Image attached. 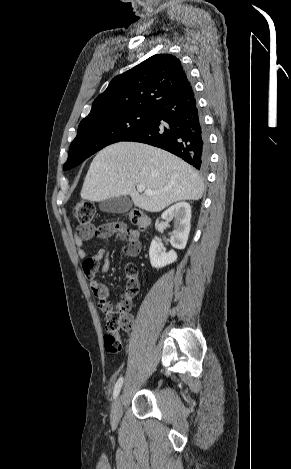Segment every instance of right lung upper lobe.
<instances>
[{
	"label": "right lung upper lobe",
	"mask_w": 291,
	"mask_h": 469,
	"mask_svg": "<svg viewBox=\"0 0 291 469\" xmlns=\"http://www.w3.org/2000/svg\"><path fill=\"white\" fill-rule=\"evenodd\" d=\"M178 58L157 54L112 79L83 119L104 118L134 109L154 110L176 90L190 87Z\"/></svg>",
	"instance_id": "cb5924a9"
}]
</instances>
